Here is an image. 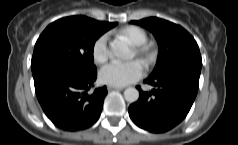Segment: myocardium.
Returning a JSON list of instances; mask_svg holds the SVG:
<instances>
[{
	"label": "myocardium",
	"instance_id": "myocardium-1",
	"mask_svg": "<svg viewBox=\"0 0 238 145\" xmlns=\"http://www.w3.org/2000/svg\"><path fill=\"white\" fill-rule=\"evenodd\" d=\"M136 53L142 57H150L154 55L155 50L152 46L147 44H142L136 48Z\"/></svg>",
	"mask_w": 238,
	"mask_h": 145
}]
</instances>
